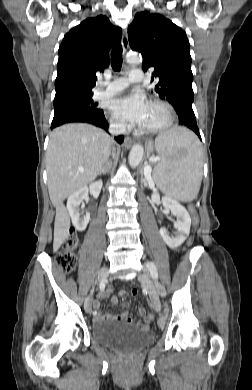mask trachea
Masks as SVG:
<instances>
[{"mask_svg":"<svg viewBox=\"0 0 252 390\" xmlns=\"http://www.w3.org/2000/svg\"><path fill=\"white\" fill-rule=\"evenodd\" d=\"M122 65V46L118 45L111 52V66L114 71H120Z\"/></svg>","mask_w":252,"mask_h":390,"instance_id":"obj_1","label":"trachea"}]
</instances>
